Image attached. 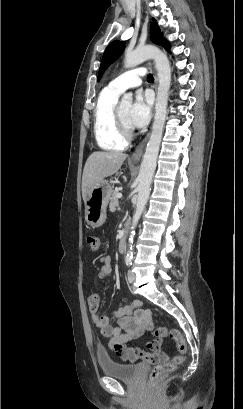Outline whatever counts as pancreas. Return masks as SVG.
Returning a JSON list of instances; mask_svg holds the SVG:
<instances>
[{
	"mask_svg": "<svg viewBox=\"0 0 243 409\" xmlns=\"http://www.w3.org/2000/svg\"><path fill=\"white\" fill-rule=\"evenodd\" d=\"M118 193H119V191H117V190L112 192V196H111L110 204H109V208H110L111 212H115L116 208L119 205V201H118V197H117Z\"/></svg>",
	"mask_w": 243,
	"mask_h": 409,
	"instance_id": "1",
	"label": "pancreas"
}]
</instances>
